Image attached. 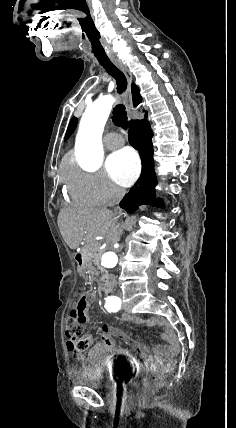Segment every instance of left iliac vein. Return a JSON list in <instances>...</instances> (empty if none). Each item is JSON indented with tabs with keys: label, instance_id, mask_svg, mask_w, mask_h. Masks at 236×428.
Wrapping results in <instances>:
<instances>
[{
	"label": "left iliac vein",
	"instance_id": "4c4485c4",
	"mask_svg": "<svg viewBox=\"0 0 236 428\" xmlns=\"http://www.w3.org/2000/svg\"><path fill=\"white\" fill-rule=\"evenodd\" d=\"M119 299H121L122 301L124 300L121 294L119 295Z\"/></svg>",
	"mask_w": 236,
	"mask_h": 428
}]
</instances>
